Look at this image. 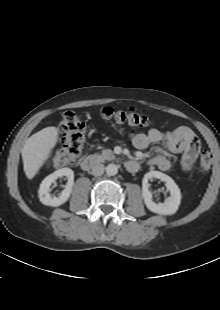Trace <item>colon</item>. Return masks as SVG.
<instances>
[{
    "label": "colon",
    "instance_id": "1",
    "mask_svg": "<svg viewBox=\"0 0 220 310\" xmlns=\"http://www.w3.org/2000/svg\"><path fill=\"white\" fill-rule=\"evenodd\" d=\"M102 115L118 123H126L131 126L146 127L150 125L151 119L142 111L136 109H115L105 107ZM63 138L62 146L52 157L55 167H63L73 164L81 155L85 142L86 125L73 111L63 113L60 123ZM212 154L204 150L199 159V170L206 172L212 165Z\"/></svg>",
    "mask_w": 220,
    "mask_h": 310
}]
</instances>
